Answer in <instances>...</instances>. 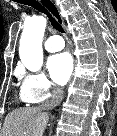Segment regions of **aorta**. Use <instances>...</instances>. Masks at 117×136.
<instances>
[{
	"mask_svg": "<svg viewBox=\"0 0 117 136\" xmlns=\"http://www.w3.org/2000/svg\"><path fill=\"white\" fill-rule=\"evenodd\" d=\"M47 25L43 16H34L24 24L19 54L23 65L36 72L43 64L42 40Z\"/></svg>",
	"mask_w": 117,
	"mask_h": 136,
	"instance_id": "aorta-1",
	"label": "aorta"
}]
</instances>
